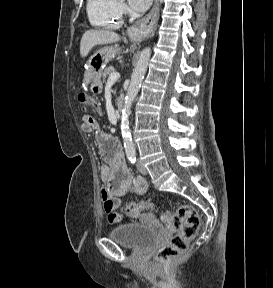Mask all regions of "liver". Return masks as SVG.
I'll list each match as a JSON object with an SVG mask.
<instances>
[{"label":"liver","instance_id":"liver-1","mask_svg":"<svg viewBox=\"0 0 273 288\" xmlns=\"http://www.w3.org/2000/svg\"><path fill=\"white\" fill-rule=\"evenodd\" d=\"M120 41V36L109 30L90 29L86 31L80 42V55L86 57L96 45L110 44Z\"/></svg>","mask_w":273,"mask_h":288}]
</instances>
